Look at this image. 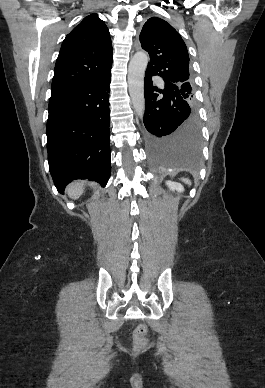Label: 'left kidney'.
Here are the masks:
<instances>
[{
	"label": "left kidney",
	"instance_id": "obj_1",
	"mask_svg": "<svg viewBox=\"0 0 265 388\" xmlns=\"http://www.w3.org/2000/svg\"><path fill=\"white\" fill-rule=\"evenodd\" d=\"M168 188H170V190H172V192H184V188L183 186H181V184H177V182H166Z\"/></svg>",
	"mask_w": 265,
	"mask_h": 388
}]
</instances>
